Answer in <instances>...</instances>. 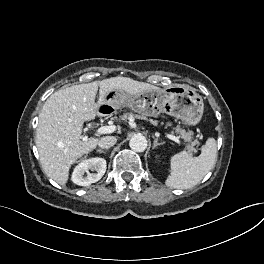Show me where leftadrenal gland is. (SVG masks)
Returning a JSON list of instances; mask_svg holds the SVG:
<instances>
[{
    "instance_id": "a2214340",
    "label": "left adrenal gland",
    "mask_w": 264,
    "mask_h": 264,
    "mask_svg": "<svg viewBox=\"0 0 264 264\" xmlns=\"http://www.w3.org/2000/svg\"><path fill=\"white\" fill-rule=\"evenodd\" d=\"M153 138H154L153 149H154L155 147H157L158 145H163L162 142H158V138H155V137H153Z\"/></svg>"
}]
</instances>
